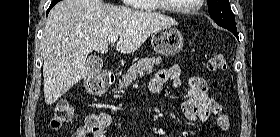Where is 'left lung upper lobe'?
Returning <instances> with one entry per match:
<instances>
[{"mask_svg": "<svg viewBox=\"0 0 280 137\" xmlns=\"http://www.w3.org/2000/svg\"><path fill=\"white\" fill-rule=\"evenodd\" d=\"M208 11L215 22L228 30H237L229 0H208Z\"/></svg>", "mask_w": 280, "mask_h": 137, "instance_id": "obj_1", "label": "left lung upper lobe"}]
</instances>
